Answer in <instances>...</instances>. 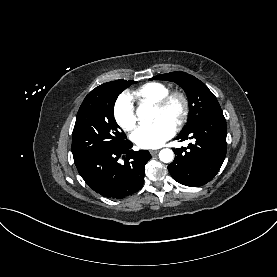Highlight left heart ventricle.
<instances>
[{
	"label": "left heart ventricle",
	"instance_id": "obj_1",
	"mask_svg": "<svg viewBox=\"0 0 277 277\" xmlns=\"http://www.w3.org/2000/svg\"><path fill=\"white\" fill-rule=\"evenodd\" d=\"M180 103L178 101H175L171 107L163 112L157 108H155L154 110V120H158L160 118H165V119H168L172 122L175 123V120H176V117L178 116L179 112H180Z\"/></svg>",
	"mask_w": 277,
	"mask_h": 277
}]
</instances>
